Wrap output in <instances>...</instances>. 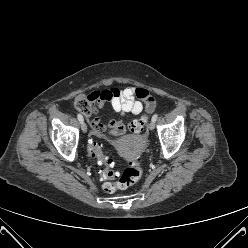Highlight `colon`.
Listing matches in <instances>:
<instances>
[{
  "instance_id": "colon-1",
  "label": "colon",
  "mask_w": 248,
  "mask_h": 248,
  "mask_svg": "<svg viewBox=\"0 0 248 248\" xmlns=\"http://www.w3.org/2000/svg\"><path fill=\"white\" fill-rule=\"evenodd\" d=\"M109 92V91H108ZM99 97L98 94L91 97H79L74 103V107L84 116H88L93 108V102ZM148 120V116L143 115L129 124V129L134 133H140ZM86 150L90 153L93 160L100 167V175L104 179H117L116 183L107 182L103 185L107 193H113L118 189H125L135 184L141 174V158L136 156L129 160L121 172L118 171L111 158L103 150L102 144L90 141L86 145Z\"/></svg>"
}]
</instances>
